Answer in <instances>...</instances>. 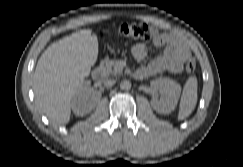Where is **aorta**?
<instances>
[{
    "instance_id": "aorta-1",
    "label": "aorta",
    "mask_w": 243,
    "mask_h": 167,
    "mask_svg": "<svg viewBox=\"0 0 243 167\" xmlns=\"http://www.w3.org/2000/svg\"><path fill=\"white\" fill-rule=\"evenodd\" d=\"M120 88L122 90H130L131 89V82L129 80H123L120 83Z\"/></svg>"
}]
</instances>
